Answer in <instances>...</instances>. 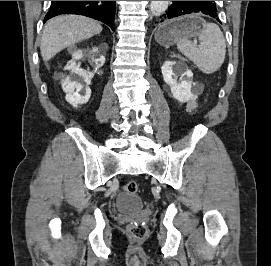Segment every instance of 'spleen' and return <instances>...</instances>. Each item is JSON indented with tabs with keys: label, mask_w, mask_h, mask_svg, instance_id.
Listing matches in <instances>:
<instances>
[{
	"label": "spleen",
	"mask_w": 271,
	"mask_h": 266,
	"mask_svg": "<svg viewBox=\"0 0 271 266\" xmlns=\"http://www.w3.org/2000/svg\"><path fill=\"white\" fill-rule=\"evenodd\" d=\"M199 45L188 38L177 42L179 51L192 61L205 74L216 72L223 64L226 54V42L219 26L214 23H204L198 33Z\"/></svg>",
	"instance_id": "1"
}]
</instances>
